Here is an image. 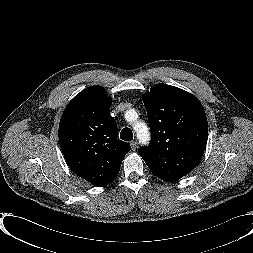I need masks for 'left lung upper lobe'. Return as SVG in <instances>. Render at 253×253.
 I'll use <instances>...</instances> for the list:
<instances>
[{"instance_id": "5c2ea615", "label": "left lung upper lobe", "mask_w": 253, "mask_h": 253, "mask_svg": "<svg viewBox=\"0 0 253 253\" xmlns=\"http://www.w3.org/2000/svg\"><path fill=\"white\" fill-rule=\"evenodd\" d=\"M152 140L138 152L153 174L180 178L199 163L207 141L208 123L201 103L192 94L157 84L143 96Z\"/></svg>"}]
</instances>
